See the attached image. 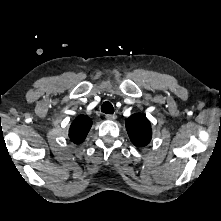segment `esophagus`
I'll list each match as a JSON object with an SVG mask.
<instances>
[{"instance_id": "34e87169", "label": "esophagus", "mask_w": 221, "mask_h": 221, "mask_svg": "<svg viewBox=\"0 0 221 221\" xmlns=\"http://www.w3.org/2000/svg\"><path fill=\"white\" fill-rule=\"evenodd\" d=\"M105 117L108 120H115L117 116L115 114H106Z\"/></svg>"}]
</instances>
